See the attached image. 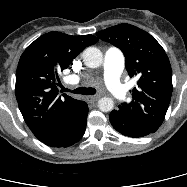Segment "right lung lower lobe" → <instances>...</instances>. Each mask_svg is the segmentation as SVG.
Masks as SVG:
<instances>
[{"mask_svg":"<svg viewBox=\"0 0 187 187\" xmlns=\"http://www.w3.org/2000/svg\"><path fill=\"white\" fill-rule=\"evenodd\" d=\"M87 114L88 105L82 102L64 125L40 141L50 147H68L75 144L85 133Z\"/></svg>","mask_w":187,"mask_h":187,"instance_id":"obj_1","label":"right lung lower lobe"}]
</instances>
